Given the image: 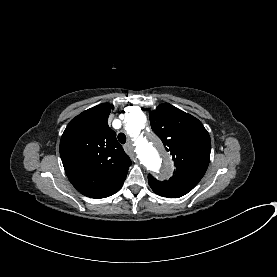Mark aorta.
Returning <instances> with one entry per match:
<instances>
[{
	"mask_svg": "<svg viewBox=\"0 0 277 277\" xmlns=\"http://www.w3.org/2000/svg\"><path fill=\"white\" fill-rule=\"evenodd\" d=\"M145 123L146 116L142 112H133L128 115L126 130L135 140L139 160L147 169L153 172L170 171L172 161L164 151L160 140L153 134L142 135L141 130Z\"/></svg>",
	"mask_w": 277,
	"mask_h": 277,
	"instance_id": "obj_1",
	"label": "aorta"
}]
</instances>
